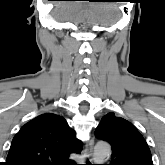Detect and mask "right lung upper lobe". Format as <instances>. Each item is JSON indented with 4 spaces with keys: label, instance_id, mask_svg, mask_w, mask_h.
Returning <instances> with one entry per match:
<instances>
[{
    "label": "right lung upper lobe",
    "instance_id": "cb5924a9",
    "mask_svg": "<svg viewBox=\"0 0 165 165\" xmlns=\"http://www.w3.org/2000/svg\"><path fill=\"white\" fill-rule=\"evenodd\" d=\"M75 135L62 116L39 115L15 135L5 165H61L81 151Z\"/></svg>",
    "mask_w": 165,
    "mask_h": 165
}]
</instances>
